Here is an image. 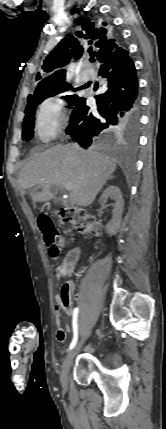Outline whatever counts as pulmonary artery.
<instances>
[{
  "instance_id": "obj_1",
  "label": "pulmonary artery",
  "mask_w": 166,
  "mask_h": 429,
  "mask_svg": "<svg viewBox=\"0 0 166 429\" xmlns=\"http://www.w3.org/2000/svg\"><path fill=\"white\" fill-rule=\"evenodd\" d=\"M90 65H91L90 62L88 61L86 63V68H85L84 73H83L84 77H85L83 79L84 82L94 78V71L92 69H90Z\"/></svg>"
}]
</instances>
